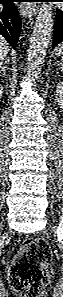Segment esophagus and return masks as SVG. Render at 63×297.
I'll list each match as a JSON object with an SVG mask.
<instances>
[{"label": "esophagus", "mask_w": 63, "mask_h": 297, "mask_svg": "<svg viewBox=\"0 0 63 297\" xmlns=\"http://www.w3.org/2000/svg\"><path fill=\"white\" fill-rule=\"evenodd\" d=\"M37 6L35 4H26L20 7V13L25 18H31L33 15L36 14Z\"/></svg>", "instance_id": "esophagus-1"}]
</instances>
